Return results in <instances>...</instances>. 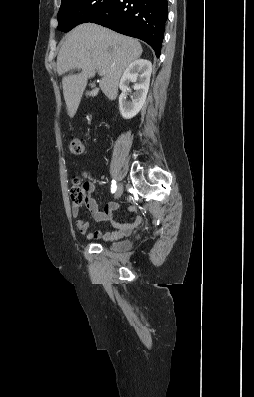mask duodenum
<instances>
[{"label": "duodenum", "instance_id": "410a0bca", "mask_svg": "<svg viewBox=\"0 0 254 397\" xmlns=\"http://www.w3.org/2000/svg\"><path fill=\"white\" fill-rule=\"evenodd\" d=\"M91 94H92V95H96V94H97V90L91 91Z\"/></svg>", "mask_w": 254, "mask_h": 397}]
</instances>
